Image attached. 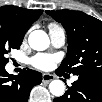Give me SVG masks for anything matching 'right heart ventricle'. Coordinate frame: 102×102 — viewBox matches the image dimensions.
Wrapping results in <instances>:
<instances>
[{
    "label": "right heart ventricle",
    "instance_id": "obj_1",
    "mask_svg": "<svg viewBox=\"0 0 102 102\" xmlns=\"http://www.w3.org/2000/svg\"><path fill=\"white\" fill-rule=\"evenodd\" d=\"M48 27H49L50 30H61V29H62V28H61L58 24H56V23H50Z\"/></svg>",
    "mask_w": 102,
    "mask_h": 102
}]
</instances>
